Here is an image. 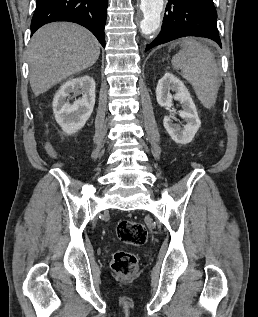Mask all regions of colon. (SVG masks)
Here are the masks:
<instances>
[{
	"label": "colon",
	"mask_w": 258,
	"mask_h": 317,
	"mask_svg": "<svg viewBox=\"0 0 258 317\" xmlns=\"http://www.w3.org/2000/svg\"><path fill=\"white\" fill-rule=\"evenodd\" d=\"M117 236L125 245L140 246L147 241L148 233L142 223L124 220L117 226ZM111 268L118 274L132 275L138 268L137 257L132 252L122 248L113 254Z\"/></svg>",
	"instance_id": "1"
}]
</instances>
